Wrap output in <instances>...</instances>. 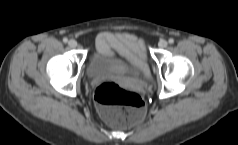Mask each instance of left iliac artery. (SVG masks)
I'll return each instance as SVG.
<instances>
[{
  "label": "left iliac artery",
  "mask_w": 238,
  "mask_h": 145,
  "mask_svg": "<svg viewBox=\"0 0 238 145\" xmlns=\"http://www.w3.org/2000/svg\"><path fill=\"white\" fill-rule=\"evenodd\" d=\"M168 42H169L170 44H173V43H174V39H173V38H170V39L168 40Z\"/></svg>",
  "instance_id": "left-iliac-artery-1"
}]
</instances>
